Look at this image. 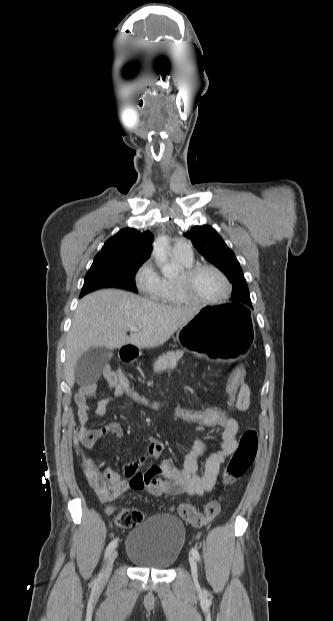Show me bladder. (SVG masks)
Wrapping results in <instances>:
<instances>
[{"label": "bladder", "instance_id": "1", "mask_svg": "<svg viewBox=\"0 0 333 621\" xmlns=\"http://www.w3.org/2000/svg\"><path fill=\"white\" fill-rule=\"evenodd\" d=\"M184 543L183 522L170 514H156L130 531L126 555L139 567L166 571L179 558Z\"/></svg>", "mask_w": 333, "mask_h": 621}]
</instances>
